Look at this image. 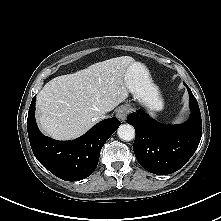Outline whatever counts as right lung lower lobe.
I'll return each mask as SVG.
<instances>
[{
  "label": "right lung lower lobe",
  "instance_id": "obj_1",
  "mask_svg": "<svg viewBox=\"0 0 221 221\" xmlns=\"http://www.w3.org/2000/svg\"><path fill=\"white\" fill-rule=\"evenodd\" d=\"M34 111L35 97L32 99L27 119L32 151L47 170L65 181H78L90 176L97 167L103 145L121 125L117 118H109L75 140L57 141L39 131Z\"/></svg>",
  "mask_w": 221,
  "mask_h": 221
}]
</instances>
